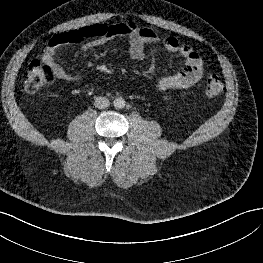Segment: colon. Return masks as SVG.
I'll return each mask as SVG.
<instances>
[{"instance_id":"1","label":"colon","mask_w":263,"mask_h":263,"mask_svg":"<svg viewBox=\"0 0 263 263\" xmlns=\"http://www.w3.org/2000/svg\"><path fill=\"white\" fill-rule=\"evenodd\" d=\"M54 77L55 74L49 66L34 60L28 66L24 89L28 93H36L44 86L51 84L54 81ZM222 90L223 84L217 76L211 75L207 78L205 86L207 95L217 96Z\"/></svg>"}]
</instances>
